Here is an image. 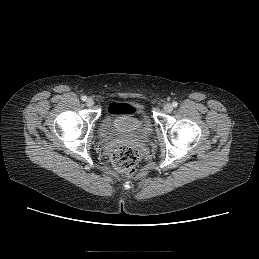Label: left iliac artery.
<instances>
[{
    "instance_id": "left-iliac-artery-1",
    "label": "left iliac artery",
    "mask_w": 259,
    "mask_h": 259,
    "mask_svg": "<svg viewBox=\"0 0 259 259\" xmlns=\"http://www.w3.org/2000/svg\"><path fill=\"white\" fill-rule=\"evenodd\" d=\"M172 106H173V107H177V106H178V103H177L176 101H174V102L172 103Z\"/></svg>"
}]
</instances>
